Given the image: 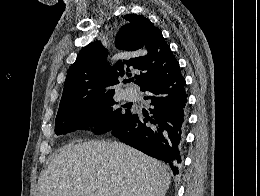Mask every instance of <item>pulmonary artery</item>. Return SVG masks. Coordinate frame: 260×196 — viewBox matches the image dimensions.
I'll list each match as a JSON object with an SVG mask.
<instances>
[{
    "label": "pulmonary artery",
    "mask_w": 260,
    "mask_h": 196,
    "mask_svg": "<svg viewBox=\"0 0 260 196\" xmlns=\"http://www.w3.org/2000/svg\"><path fill=\"white\" fill-rule=\"evenodd\" d=\"M122 97L127 101H133V102L138 101V93L132 87L125 88L122 92Z\"/></svg>",
    "instance_id": "e3ab8cb5"
}]
</instances>
